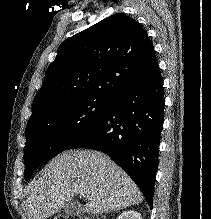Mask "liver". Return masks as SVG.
Listing matches in <instances>:
<instances>
[{
    "mask_svg": "<svg viewBox=\"0 0 211 219\" xmlns=\"http://www.w3.org/2000/svg\"><path fill=\"white\" fill-rule=\"evenodd\" d=\"M80 194L88 214L125 209L142 202V194L107 155L93 150L65 151L33 180L27 191L29 219H47Z\"/></svg>",
    "mask_w": 211,
    "mask_h": 219,
    "instance_id": "1",
    "label": "liver"
}]
</instances>
